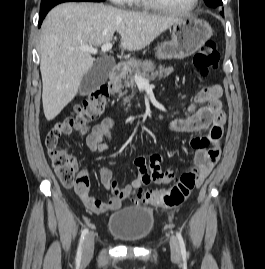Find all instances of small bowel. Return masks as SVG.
Wrapping results in <instances>:
<instances>
[{
    "instance_id": "obj_1",
    "label": "small bowel",
    "mask_w": 265,
    "mask_h": 269,
    "mask_svg": "<svg viewBox=\"0 0 265 269\" xmlns=\"http://www.w3.org/2000/svg\"><path fill=\"white\" fill-rule=\"evenodd\" d=\"M222 89L217 86L202 88L188 106L187 116L169 124V129L175 132L199 134L215 126H220L225 120L220 97ZM204 104L203 107L197 105ZM116 121L112 117L102 119L92 128L86 138V145L92 152H105L110 148V137ZM221 127V126H220ZM221 136L213 139L204 136H193L190 145L195 150V161L200 166V183L210 174L220 157ZM163 158L160 154H152L148 160L145 157H136L134 164L137 176L124 187H119L113 172L108 167L99 169V178L102 185L112 194L108 202H102L89 194L90 180L86 170L79 172L75 182V192L85 208L93 214L117 211L123 202L129 200L136 190L151 183L168 184L174 179V171L162 167Z\"/></svg>"
}]
</instances>
